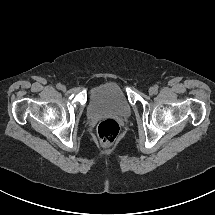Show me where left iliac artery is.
Returning a JSON list of instances; mask_svg holds the SVG:
<instances>
[{"mask_svg": "<svg viewBox=\"0 0 215 215\" xmlns=\"http://www.w3.org/2000/svg\"><path fill=\"white\" fill-rule=\"evenodd\" d=\"M154 87H155V89H156V91H157V90H158V85H155Z\"/></svg>", "mask_w": 215, "mask_h": 215, "instance_id": "1", "label": "left iliac artery"}]
</instances>
